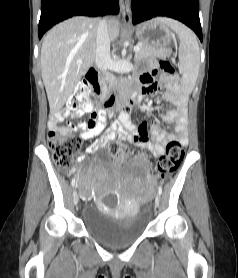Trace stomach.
Segmentation results:
<instances>
[{"mask_svg": "<svg viewBox=\"0 0 238 278\" xmlns=\"http://www.w3.org/2000/svg\"><path fill=\"white\" fill-rule=\"evenodd\" d=\"M135 33L142 43L161 49H166L174 39V33L159 18L136 26Z\"/></svg>", "mask_w": 238, "mask_h": 278, "instance_id": "obj_1", "label": "stomach"}]
</instances>
